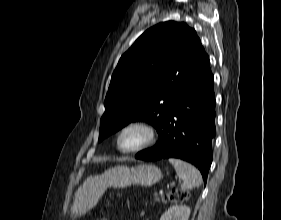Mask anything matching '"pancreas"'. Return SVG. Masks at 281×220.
I'll return each instance as SVG.
<instances>
[{
	"instance_id": "1",
	"label": "pancreas",
	"mask_w": 281,
	"mask_h": 220,
	"mask_svg": "<svg viewBox=\"0 0 281 220\" xmlns=\"http://www.w3.org/2000/svg\"><path fill=\"white\" fill-rule=\"evenodd\" d=\"M164 198H165V195H160V196H156L155 197V201H160V199H163L164 200Z\"/></svg>"
}]
</instances>
